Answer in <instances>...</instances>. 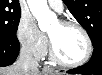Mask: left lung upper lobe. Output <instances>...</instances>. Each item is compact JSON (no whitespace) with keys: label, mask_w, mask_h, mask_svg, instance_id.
Returning <instances> with one entry per match:
<instances>
[{"label":"left lung upper lobe","mask_w":102,"mask_h":75,"mask_svg":"<svg viewBox=\"0 0 102 75\" xmlns=\"http://www.w3.org/2000/svg\"><path fill=\"white\" fill-rule=\"evenodd\" d=\"M87 31L93 46L102 43V0H63Z\"/></svg>","instance_id":"left-lung-upper-lobe-1"}]
</instances>
